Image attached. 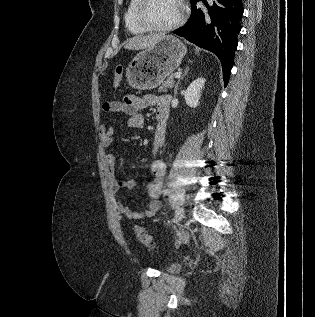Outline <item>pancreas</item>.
Here are the masks:
<instances>
[{
  "label": "pancreas",
  "instance_id": "cf45deb5",
  "mask_svg": "<svg viewBox=\"0 0 315 317\" xmlns=\"http://www.w3.org/2000/svg\"><path fill=\"white\" fill-rule=\"evenodd\" d=\"M175 83L174 74H171L166 81L163 82L162 86L159 88V92H167L169 89L173 88Z\"/></svg>",
  "mask_w": 315,
  "mask_h": 317
}]
</instances>
